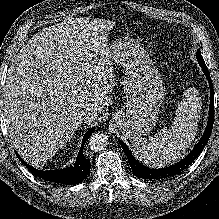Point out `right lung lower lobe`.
Segmentation results:
<instances>
[{"instance_id":"98d812e1","label":"right lung lower lobe","mask_w":219,"mask_h":219,"mask_svg":"<svg viewBox=\"0 0 219 219\" xmlns=\"http://www.w3.org/2000/svg\"><path fill=\"white\" fill-rule=\"evenodd\" d=\"M94 131V127L89 129L83 137L82 144L78 156L76 158V162L74 166L61 169V170H50V171H42L31 167L27 164L17 153L19 160L26 165V167L34 173L36 176L50 182H56L60 184H77L83 181L90 171V161L83 154V147L88 138Z\"/></svg>"}]
</instances>
